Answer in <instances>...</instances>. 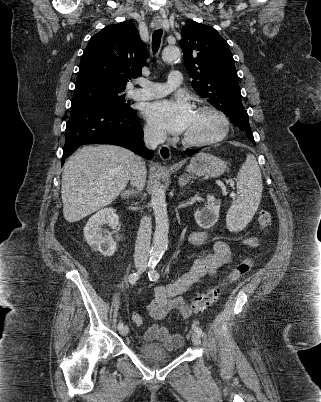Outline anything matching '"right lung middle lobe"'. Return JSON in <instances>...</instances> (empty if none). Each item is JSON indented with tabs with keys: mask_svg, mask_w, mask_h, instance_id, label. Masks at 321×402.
Instances as JSON below:
<instances>
[{
	"mask_svg": "<svg viewBox=\"0 0 321 402\" xmlns=\"http://www.w3.org/2000/svg\"><path fill=\"white\" fill-rule=\"evenodd\" d=\"M123 91L100 83L76 84L71 109L92 107L115 112L128 111L132 108L124 99Z\"/></svg>",
	"mask_w": 321,
	"mask_h": 402,
	"instance_id": "right-lung-middle-lobe-1",
	"label": "right lung middle lobe"
}]
</instances>
